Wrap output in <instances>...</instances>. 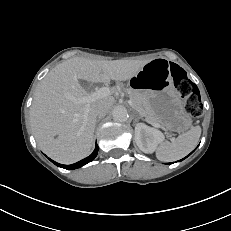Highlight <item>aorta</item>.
<instances>
[{
    "label": "aorta",
    "mask_w": 231,
    "mask_h": 231,
    "mask_svg": "<svg viewBox=\"0 0 231 231\" xmlns=\"http://www.w3.org/2000/svg\"><path fill=\"white\" fill-rule=\"evenodd\" d=\"M112 116L115 121L125 122L128 118V112L124 106H116L112 111Z\"/></svg>",
    "instance_id": "aorta-1"
}]
</instances>
